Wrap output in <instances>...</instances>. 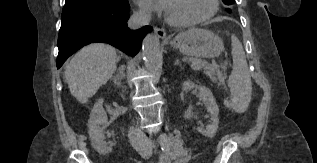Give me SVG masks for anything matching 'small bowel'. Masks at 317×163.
<instances>
[{"label": "small bowel", "mask_w": 317, "mask_h": 163, "mask_svg": "<svg viewBox=\"0 0 317 163\" xmlns=\"http://www.w3.org/2000/svg\"><path fill=\"white\" fill-rule=\"evenodd\" d=\"M180 154L178 160L173 163H187L191 158V153L187 149H175L170 153H165L161 156L159 163H171V158Z\"/></svg>", "instance_id": "1"}]
</instances>
